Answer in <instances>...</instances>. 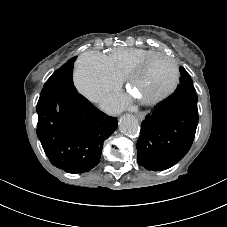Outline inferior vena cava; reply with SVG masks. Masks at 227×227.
<instances>
[{
  "label": "inferior vena cava",
  "mask_w": 227,
  "mask_h": 227,
  "mask_svg": "<svg viewBox=\"0 0 227 227\" xmlns=\"http://www.w3.org/2000/svg\"><path fill=\"white\" fill-rule=\"evenodd\" d=\"M98 98H99V95H95V96L92 98V100H93V101H97Z\"/></svg>",
  "instance_id": "obj_1"
}]
</instances>
